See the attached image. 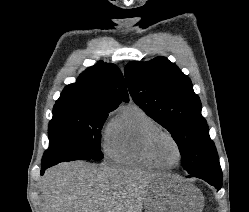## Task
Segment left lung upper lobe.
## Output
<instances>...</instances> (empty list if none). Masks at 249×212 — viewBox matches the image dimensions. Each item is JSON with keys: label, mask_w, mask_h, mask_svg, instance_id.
Instances as JSON below:
<instances>
[{"label": "left lung upper lobe", "mask_w": 249, "mask_h": 212, "mask_svg": "<svg viewBox=\"0 0 249 212\" xmlns=\"http://www.w3.org/2000/svg\"><path fill=\"white\" fill-rule=\"evenodd\" d=\"M129 92L147 115L166 128L178 145L189 177L221 171L201 102L190 79L165 57L130 62L125 68Z\"/></svg>", "instance_id": "obj_1"}]
</instances>
